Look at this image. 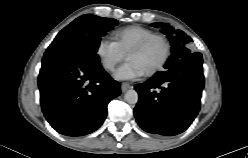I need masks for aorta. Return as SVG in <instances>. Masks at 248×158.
Returning a JSON list of instances; mask_svg holds the SVG:
<instances>
[{"label": "aorta", "instance_id": "obj_1", "mask_svg": "<svg viewBox=\"0 0 248 158\" xmlns=\"http://www.w3.org/2000/svg\"><path fill=\"white\" fill-rule=\"evenodd\" d=\"M138 98V93L133 89L128 90L124 95L125 101L129 104H136L138 102Z\"/></svg>", "mask_w": 248, "mask_h": 158}]
</instances>
